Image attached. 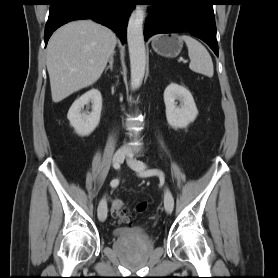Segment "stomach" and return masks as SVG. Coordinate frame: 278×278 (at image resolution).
Masks as SVG:
<instances>
[{"label":"stomach","mask_w":278,"mask_h":278,"mask_svg":"<svg viewBox=\"0 0 278 278\" xmlns=\"http://www.w3.org/2000/svg\"><path fill=\"white\" fill-rule=\"evenodd\" d=\"M183 42L177 34L158 35L152 40L154 51L164 57H176L182 50Z\"/></svg>","instance_id":"0dacf381"}]
</instances>
